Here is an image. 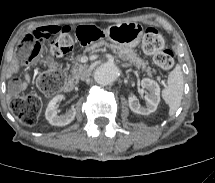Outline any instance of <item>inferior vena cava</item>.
Wrapping results in <instances>:
<instances>
[{"mask_svg": "<svg viewBox=\"0 0 215 183\" xmlns=\"http://www.w3.org/2000/svg\"><path fill=\"white\" fill-rule=\"evenodd\" d=\"M90 75H91V71L86 69L81 73L80 79L84 81L88 79Z\"/></svg>", "mask_w": 215, "mask_h": 183, "instance_id": "obj_1", "label": "inferior vena cava"}]
</instances>
